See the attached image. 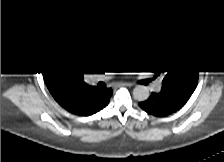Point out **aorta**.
<instances>
[{
  "label": "aorta",
  "instance_id": "762f6f07",
  "mask_svg": "<svg viewBox=\"0 0 224 162\" xmlns=\"http://www.w3.org/2000/svg\"><path fill=\"white\" fill-rule=\"evenodd\" d=\"M133 97L137 101H145L149 98V90L146 86L138 85L133 90Z\"/></svg>",
  "mask_w": 224,
  "mask_h": 162
}]
</instances>
